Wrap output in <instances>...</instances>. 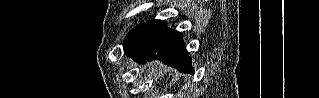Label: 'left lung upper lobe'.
Wrapping results in <instances>:
<instances>
[{
  "label": "left lung upper lobe",
  "instance_id": "1",
  "mask_svg": "<svg viewBox=\"0 0 319 98\" xmlns=\"http://www.w3.org/2000/svg\"><path fill=\"white\" fill-rule=\"evenodd\" d=\"M140 25L136 26L134 29H132L129 34L126 36L124 40V45L133 37V35L136 33Z\"/></svg>",
  "mask_w": 319,
  "mask_h": 98
}]
</instances>
